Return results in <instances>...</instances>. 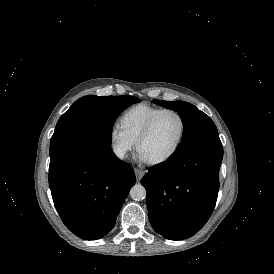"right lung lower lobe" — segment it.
I'll list each match as a JSON object with an SVG mask.
<instances>
[{
    "instance_id": "1",
    "label": "right lung lower lobe",
    "mask_w": 274,
    "mask_h": 274,
    "mask_svg": "<svg viewBox=\"0 0 274 274\" xmlns=\"http://www.w3.org/2000/svg\"><path fill=\"white\" fill-rule=\"evenodd\" d=\"M136 178L133 168L119 160L111 142L91 140L59 151L50 158L49 186L64 224L77 236H105Z\"/></svg>"
}]
</instances>
